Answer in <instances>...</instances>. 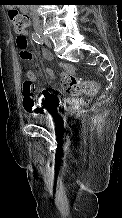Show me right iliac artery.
<instances>
[{"label":"right iliac artery","mask_w":122,"mask_h":218,"mask_svg":"<svg viewBox=\"0 0 122 218\" xmlns=\"http://www.w3.org/2000/svg\"><path fill=\"white\" fill-rule=\"evenodd\" d=\"M32 39H33V41H34L35 43H37V44H43V41H42L40 35L37 34V33H33V34H32Z\"/></svg>","instance_id":"82829eb1"}]
</instances>
